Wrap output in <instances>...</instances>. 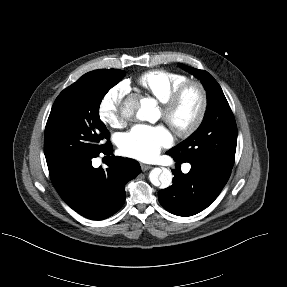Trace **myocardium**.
Wrapping results in <instances>:
<instances>
[{
    "mask_svg": "<svg viewBox=\"0 0 287 287\" xmlns=\"http://www.w3.org/2000/svg\"><path fill=\"white\" fill-rule=\"evenodd\" d=\"M190 90H195L199 96V108L195 118L187 126H177L173 117L180 107L184 97ZM208 109V95L205 87L196 80H187L176 88L168 100L162 104V116L174 133L181 138L194 134L202 125Z\"/></svg>",
    "mask_w": 287,
    "mask_h": 287,
    "instance_id": "1",
    "label": "myocardium"
}]
</instances>
